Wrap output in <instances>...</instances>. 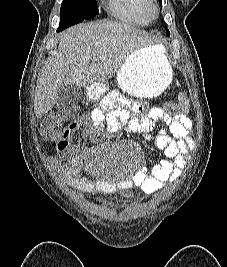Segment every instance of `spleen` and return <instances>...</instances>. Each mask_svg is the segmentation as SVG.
Segmentation results:
<instances>
[{
    "label": "spleen",
    "mask_w": 227,
    "mask_h": 267,
    "mask_svg": "<svg viewBox=\"0 0 227 267\" xmlns=\"http://www.w3.org/2000/svg\"><path fill=\"white\" fill-rule=\"evenodd\" d=\"M158 47H170V42H158ZM180 98H187V93H180ZM178 105H189V100H178Z\"/></svg>",
    "instance_id": "spleen-1"
}]
</instances>
